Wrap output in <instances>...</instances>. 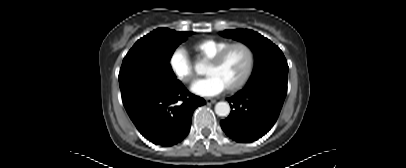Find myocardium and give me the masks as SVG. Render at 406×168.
I'll return each mask as SVG.
<instances>
[{
    "label": "myocardium",
    "mask_w": 406,
    "mask_h": 168,
    "mask_svg": "<svg viewBox=\"0 0 406 168\" xmlns=\"http://www.w3.org/2000/svg\"><path fill=\"white\" fill-rule=\"evenodd\" d=\"M236 46H241L246 49L247 54H248V63H247V67H246V70H245L243 76L240 78V80L237 83H235L234 85H232L230 87H227L226 88L227 92H235V91L241 89L249 80V78L253 72L254 63H255L254 49L252 48V46L250 44H248L244 41H236V42L230 43L227 46H225L223 49L218 51L211 59L208 60V64H210L212 66H218L224 59L225 55L232 48H234Z\"/></svg>",
    "instance_id": "f54148a6"
}]
</instances>
